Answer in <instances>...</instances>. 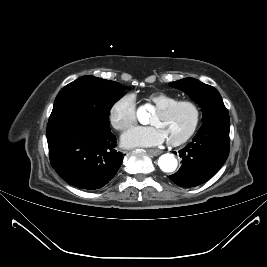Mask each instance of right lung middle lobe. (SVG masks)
<instances>
[{
    "instance_id": "1",
    "label": "right lung middle lobe",
    "mask_w": 267,
    "mask_h": 267,
    "mask_svg": "<svg viewBox=\"0 0 267 267\" xmlns=\"http://www.w3.org/2000/svg\"><path fill=\"white\" fill-rule=\"evenodd\" d=\"M127 87L91 75L81 77L58 93L48 125L67 117H81L109 127L112 106L124 96Z\"/></svg>"
}]
</instances>
